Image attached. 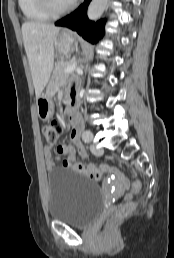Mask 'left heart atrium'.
<instances>
[{"mask_svg": "<svg viewBox=\"0 0 174 258\" xmlns=\"http://www.w3.org/2000/svg\"><path fill=\"white\" fill-rule=\"evenodd\" d=\"M71 2H74V1H76V0H70Z\"/></svg>", "mask_w": 174, "mask_h": 258, "instance_id": "39dd6f15", "label": "left heart atrium"}]
</instances>
